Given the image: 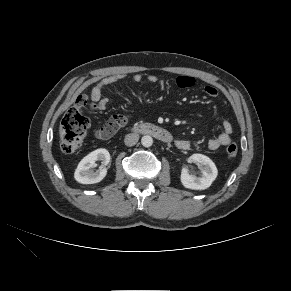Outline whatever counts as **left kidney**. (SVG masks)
<instances>
[{
    "mask_svg": "<svg viewBox=\"0 0 291 291\" xmlns=\"http://www.w3.org/2000/svg\"><path fill=\"white\" fill-rule=\"evenodd\" d=\"M188 163H195L200 169V176H196L186 166L181 172V183L185 188L204 190L211 186L218 175L215 163L203 154L195 153L188 158Z\"/></svg>",
    "mask_w": 291,
    "mask_h": 291,
    "instance_id": "obj_1",
    "label": "left kidney"
}]
</instances>
